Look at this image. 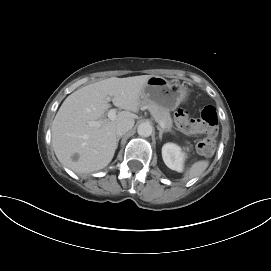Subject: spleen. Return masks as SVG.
<instances>
[{
    "label": "spleen",
    "instance_id": "obj_1",
    "mask_svg": "<svg viewBox=\"0 0 271 271\" xmlns=\"http://www.w3.org/2000/svg\"><path fill=\"white\" fill-rule=\"evenodd\" d=\"M209 166V161L201 160L195 162L185 173L183 180L187 181L189 179L201 176L204 171Z\"/></svg>",
    "mask_w": 271,
    "mask_h": 271
}]
</instances>
